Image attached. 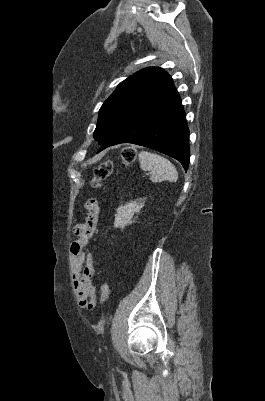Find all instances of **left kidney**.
Returning a JSON list of instances; mask_svg holds the SVG:
<instances>
[{
  "instance_id": "left-kidney-1",
  "label": "left kidney",
  "mask_w": 265,
  "mask_h": 401,
  "mask_svg": "<svg viewBox=\"0 0 265 401\" xmlns=\"http://www.w3.org/2000/svg\"><path fill=\"white\" fill-rule=\"evenodd\" d=\"M144 207V198H135L132 203H126L118 207L115 215L114 227H126L132 223L135 213H139Z\"/></svg>"
}]
</instances>
